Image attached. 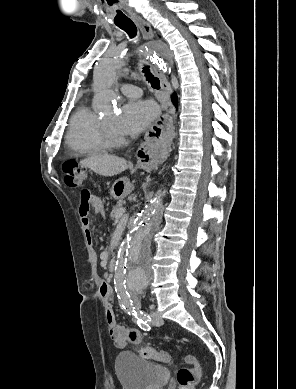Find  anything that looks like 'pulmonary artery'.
Listing matches in <instances>:
<instances>
[{
    "mask_svg": "<svg viewBox=\"0 0 296 389\" xmlns=\"http://www.w3.org/2000/svg\"><path fill=\"white\" fill-rule=\"evenodd\" d=\"M120 91L128 96V97H132V98H136V97H139L141 95V89L138 88L137 86H134L132 84H123L120 86Z\"/></svg>",
    "mask_w": 296,
    "mask_h": 389,
    "instance_id": "1",
    "label": "pulmonary artery"
}]
</instances>
